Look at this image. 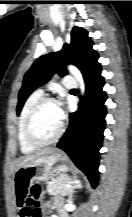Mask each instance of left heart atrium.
I'll use <instances>...</instances> for the list:
<instances>
[{
	"label": "left heart atrium",
	"mask_w": 132,
	"mask_h": 217,
	"mask_svg": "<svg viewBox=\"0 0 132 217\" xmlns=\"http://www.w3.org/2000/svg\"><path fill=\"white\" fill-rule=\"evenodd\" d=\"M56 107H57V110H58L59 117L62 120V118L64 116V113L62 111L61 104L56 105Z\"/></svg>",
	"instance_id": "1"
}]
</instances>
